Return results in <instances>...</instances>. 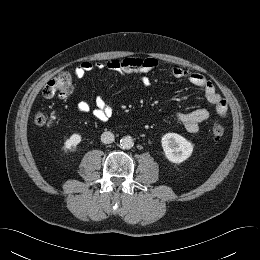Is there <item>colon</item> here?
<instances>
[{
  "label": "colon",
  "mask_w": 260,
  "mask_h": 260,
  "mask_svg": "<svg viewBox=\"0 0 260 260\" xmlns=\"http://www.w3.org/2000/svg\"><path fill=\"white\" fill-rule=\"evenodd\" d=\"M73 92V84L71 75L68 72H60L53 77L44 87L43 95L46 98H67ZM52 116H49L46 112H38L35 115V123L38 126H47L51 123ZM225 127L218 121H214L211 124L210 132L214 139L219 140L225 134Z\"/></svg>",
  "instance_id": "colon-1"
}]
</instances>
